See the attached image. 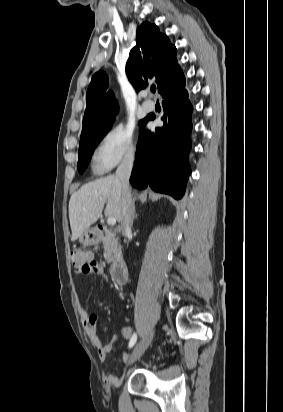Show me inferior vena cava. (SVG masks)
I'll return each instance as SVG.
<instances>
[{"label": "inferior vena cava", "instance_id": "obj_1", "mask_svg": "<svg viewBox=\"0 0 283 412\" xmlns=\"http://www.w3.org/2000/svg\"><path fill=\"white\" fill-rule=\"evenodd\" d=\"M134 165V152H129L118 166L115 176L119 179L122 186L121 198V225L123 235L131 232L134 219V203L129 188V178Z\"/></svg>", "mask_w": 283, "mask_h": 412}]
</instances>
